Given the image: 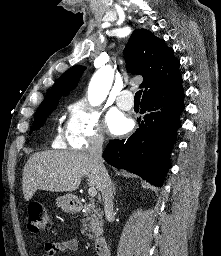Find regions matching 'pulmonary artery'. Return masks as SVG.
Returning <instances> with one entry per match:
<instances>
[{"label": "pulmonary artery", "instance_id": "pulmonary-artery-1", "mask_svg": "<svg viewBox=\"0 0 221 256\" xmlns=\"http://www.w3.org/2000/svg\"><path fill=\"white\" fill-rule=\"evenodd\" d=\"M117 105L122 110H130L133 107V94L130 90H122L116 99Z\"/></svg>", "mask_w": 221, "mask_h": 256}]
</instances>
